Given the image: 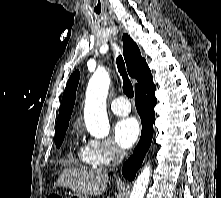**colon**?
I'll return each instance as SVG.
<instances>
[{
    "instance_id": "colon-1",
    "label": "colon",
    "mask_w": 221,
    "mask_h": 198,
    "mask_svg": "<svg viewBox=\"0 0 221 198\" xmlns=\"http://www.w3.org/2000/svg\"><path fill=\"white\" fill-rule=\"evenodd\" d=\"M48 198H61L58 194H51Z\"/></svg>"
}]
</instances>
